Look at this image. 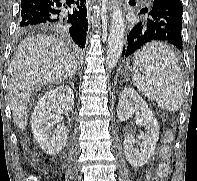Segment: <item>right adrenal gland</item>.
Segmentation results:
<instances>
[{"label": "right adrenal gland", "instance_id": "right-adrenal-gland-1", "mask_svg": "<svg viewBox=\"0 0 197 181\" xmlns=\"http://www.w3.org/2000/svg\"><path fill=\"white\" fill-rule=\"evenodd\" d=\"M69 84L71 85L72 89L74 90V84H73V82H69Z\"/></svg>", "mask_w": 197, "mask_h": 181}]
</instances>
